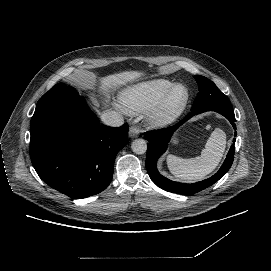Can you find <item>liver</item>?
<instances>
[{
    "label": "liver",
    "instance_id": "liver-1",
    "mask_svg": "<svg viewBox=\"0 0 271 271\" xmlns=\"http://www.w3.org/2000/svg\"><path fill=\"white\" fill-rule=\"evenodd\" d=\"M134 76H135V73H133V72H131V73H122V74H118V75L109 76L103 82L102 90L105 92V91H107L109 89V87L111 85H116L118 83H123L126 80H128L129 78H132Z\"/></svg>",
    "mask_w": 271,
    "mask_h": 271
}]
</instances>
